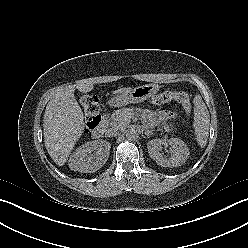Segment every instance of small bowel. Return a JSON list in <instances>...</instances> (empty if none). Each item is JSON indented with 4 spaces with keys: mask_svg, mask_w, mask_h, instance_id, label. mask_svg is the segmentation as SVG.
<instances>
[{
    "mask_svg": "<svg viewBox=\"0 0 248 248\" xmlns=\"http://www.w3.org/2000/svg\"><path fill=\"white\" fill-rule=\"evenodd\" d=\"M171 116H172V113L170 111H164L161 113V119L163 121L169 120V118H171Z\"/></svg>",
    "mask_w": 248,
    "mask_h": 248,
    "instance_id": "1",
    "label": "small bowel"
}]
</instances>
